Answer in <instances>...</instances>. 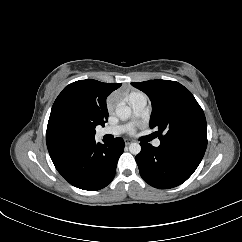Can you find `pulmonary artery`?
Wrapping results in <instances>:
<instances>
[{
    "mask_svg": "<svg viewBox=\"0 0 242 242\" xmlns=\"http://www.w3.org/2000/svg\"><path fill=\"white\" fill-rule=\"evenodd\" d=\"M130 107L132 109L133 112V119H137L140 116H142V114L145 111L146 105H147V98L144 94H138L136 96H134L133 98L130 99L129 101ZM130 126V124L128 125H118V126H110V127H105L103 129H101L99 131V134L101 136L103 135H120L123 132L126 131V129H128V127ZM160 140L156 139L153 142V145L155 147H158L160 145Z\"/></svg>",
    "mask_w": 242,
    "mask_h": 242,
    "instance_id": "1",
    "label": "pulmonary artery"
}]
</instances>
